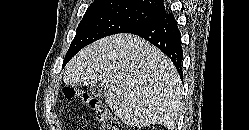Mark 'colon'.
<instances>
[{"label":"colon","mask_w":249,"mask_h":130,"mask_svg":"<svg viewBox=\"0 0 249 130\" xmlns=\"http://www.w3.org/2000/svg\"><path fill=\"white\" fill-rule=\"evenodd\" d=\"M63 94L67 99H76L91 109L97 116L99 130H122V126L102 99L74 87H65Z\"/></svg>","instance_id":"5ec220e1"}]
</instances>
